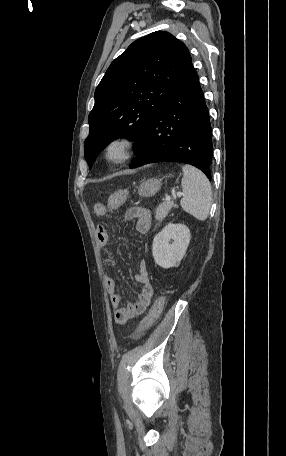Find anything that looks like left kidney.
<instances>
[{"label":"left kidney","mask_w":286,"mask_h":456,"mask_svg":"<svg viewBox=\"0 0 286 456\" xmlns=\"http://www.w3.org/2000/svg\"><path fill=\"white\" fill-rule=\"evenodd\" d=\"M189 242L190 231L187 226L167 224L153 240L152 254L155 263L165 269L177 267L186 253Z\"/></svg>","instance_id":"obj_1"}]
</instances>
